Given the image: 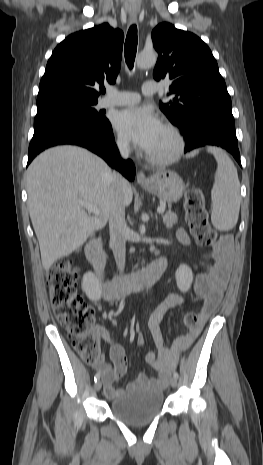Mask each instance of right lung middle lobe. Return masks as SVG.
<instances>
[{
    "label": "right lung middle lobe",
    "instance_id": "obj_1",
    "mask_svg": "<svg viewBox=\"0 0 263 465\" xmlns=\"http://www.w3.org/2000/svg\"><path fill=\"white\" fill-rule=\"evenodd\" d=\"M96 104L97 99L77 96H57L37 101L34 126L53 119H73L103 125L108 120L102 112L95 110Z\"/></svg>",
    "mask_w": 263,
    "mask_h": 465
}]
</instances>
